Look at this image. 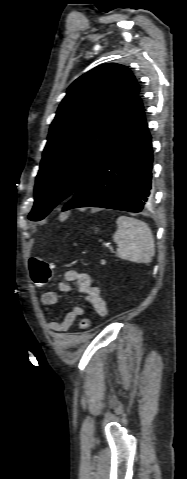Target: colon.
<instances>
[{
    "instance_id": "obj_1",
    "label": "colon",
    "mask_w": 187,
    "mask_h": 479,
    "mask_svg": "<svg viewBox=\"0 0 187 479\" xmlns=\"http://www.w3.org/2000/svg\"><path fill=\"white\" fill-rule=\"evenodd\" d=\"M28 267L30 276L34 284L45 285L49 282L52 276V264L41 259L40 257L33 256L29 259ZM91 326V320L89 318H82L79 322V328L81 330H87Z\"/></svg>"
}]
</instances>
